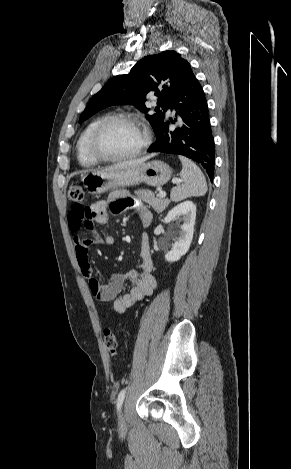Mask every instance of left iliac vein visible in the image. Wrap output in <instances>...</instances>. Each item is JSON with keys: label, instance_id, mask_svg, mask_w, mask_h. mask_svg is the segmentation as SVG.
Listing matches in <instances>:
<instances>
[{"label": "left iliac vein", "instance_id": "left-iliac-vein-1", "mask_svg": "<svg viewBox=\"0 0 291 469\" xmlns=\"http://www.w3.org/2000/svg\"><path fill=\"white\" fill-rule=\"evenodd\" d=\"M127 420H128L127 414L124 412V410H120V413H119V426L121 428H125L126 424H127Z\"/></svg>", "mask_w": 291, "mask_h": 469}]
</instances>
